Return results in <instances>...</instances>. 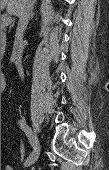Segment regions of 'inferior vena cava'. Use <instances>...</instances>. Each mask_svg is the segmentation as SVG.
Wrapping results in <instances>:
<instances>
[{
    "instance_id": "1",
    "label": "inferior vena cava",
    "mask_w": 109,
    "mask_h": 170,
    "mask_svg": "<svg viewBox=\"0 0 109 170\" xmlns=\"http://www.w3.org/2000/svg\"><path fill=\"white\" fill-rule=\"evenodd\" d=\"M34 2L35 0H22L18 26H17L14 45H13L12 59L16 65L17 71L21 79L24 78V72H23V67H22L23 34L27 27L31 8Z\"/></svg>"
}]
</instances>
